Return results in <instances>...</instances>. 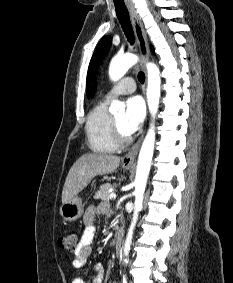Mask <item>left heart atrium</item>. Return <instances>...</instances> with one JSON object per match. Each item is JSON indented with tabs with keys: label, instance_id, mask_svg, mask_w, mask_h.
Returning a JSON list of instances; mask_svg holds the SVG:
<instances>
[{
	"label": "left heart atrium",
	"instance_id": "left-heart-atrium-1",
	"mask_svg": "<svg viewBox=\"0 0 233 283\" xmlns=\"http://www.w3.org/2000/svg\"><path fill=\"white\" fill-rule=\"evenodd\" d=\"M145 104L140 96H132L126 101L124 129L132 134L140 127L145 118Z\"/></svg>",
	"mask_w": 233,
	"mask_h": 283
}]
</instances>
